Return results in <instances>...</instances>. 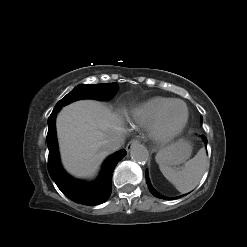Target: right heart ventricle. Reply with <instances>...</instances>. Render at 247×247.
I'll return each instance as SVG.
<instances>
[{
    "label": "right heart ventricle",
    "mask_w": 247,
    "mask_h": 247,
    "mask_svg": "<svg viewBox=\"0 0 247 247\" xmlns=\"http://www.w3.org/2000/svg\"><path fill=\"white\" fill-rule=\"evenodd\" d=\"M171 100L167 97L150 98L134 108L132 118L137 124L150 127L159 111Z\"/></svg>",
    "instance_id": "obj_1"
}]
</instances>
